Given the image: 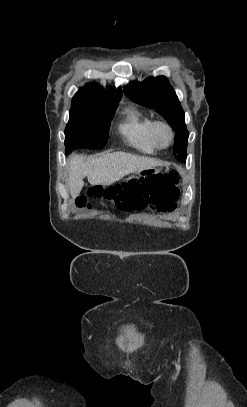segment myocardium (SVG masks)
<instances>
[{
	"label": "myocardium",
	"instance_id": "1",
	"mask_svg": "<svg viewBox=\"0 0 247 407\" xmlns=\"http://www.w3.org/2000/svg\"><path fill=\"white\" fill-rule=\"evenodd\" d=\"M161 128L166 129V131L169 134V142L167 145H163L159 140L158 132ZM151 136H152L153 142L157 148L166 149L173 143L175 134H174V130H173L172 126L167 121L156 120L153 122V125H152Z\"/></svg>",
	"mask_w": 247,
	"mask_h": 407
}]
</instances>
